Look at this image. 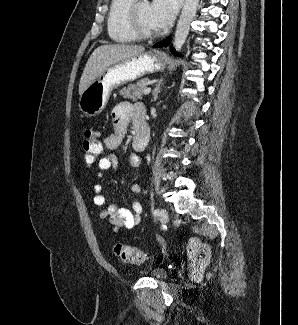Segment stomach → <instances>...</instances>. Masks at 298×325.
<instances>
[{"label":"stomach","mask_w":298,"mask_h":325,"mask_svg":"<svg viewBox=\"0 0 298 325\" xmlns=\"http://www.w3.org/2000/svg\"><path fill=\"white\" fill-rule=\"evenodd\" d=\"M168 60L159 50H146L137 56L109 64L101 76H97L80 94L78 106L86 116H96L104 110L114 88L133 82L145 74L161 72Z\"/></svg>","instance_id":"0dacf381"}]
</instances>
